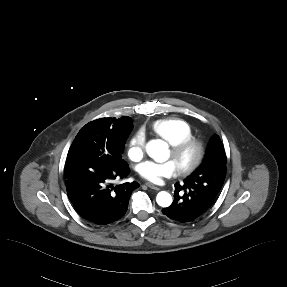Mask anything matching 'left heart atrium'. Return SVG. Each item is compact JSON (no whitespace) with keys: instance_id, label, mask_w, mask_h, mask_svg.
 Here are the masks:
<instances>
[{"instance_id":"left-heart-atrium-1","label":"left heart atrium","mask_w":287,"mask_h":287,"mask_svg":"<svg viewBox=\"0 0 287 287\" xmlns=\"http://www.w3.org/2000/svg\"><path fill=\"white\" fill-rule=\"evenodd\" d=\"M178 172V167L173 161L157 163L146 161L140 164L138 173L140 177L149 183L159 184L165 178H171Z\"/></svg>"}]
</instances>
